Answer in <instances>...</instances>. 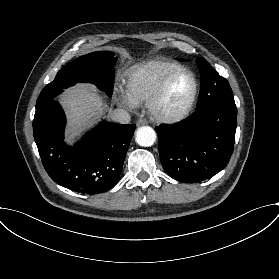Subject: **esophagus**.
<instances>
[{"instance_id": "1", "label": "esophagus", "mask_w": 279, "mask_h": 279, "mask_svg": "<svg viewBox=\"0 0 279 279\" xmlns=\"http://www.w3.org/2000/svg\"><path fill=\"white\" fill-rule=\"evenodd\" d=\"M147 123V121H146V119H139L138 121H137V126L139 127V126H143V125H145Z\"/></svg>"}]
</instances>
